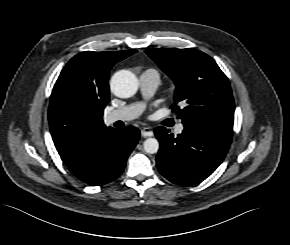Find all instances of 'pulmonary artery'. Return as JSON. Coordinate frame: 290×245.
<instances>
[{
	"label": "pulmonary artery",
	"mask_w": 290,
	"mask_h": 245,
	"mask_svg": "<svg viewBox=\"0 0 290 245\" xmlns=\"http://www.w3.org/2000/svg\"><path fill=\"white\" fill-rule=\"evenodd\" d=\"M160 84V77L156 70L147 69L139 76L140 90L145 99H150L156 92ZM145 102H137L120 109L113 110L106 114L105 121L107 124H112L117 121H129L137 118L143 112ZM183 131V125H179L175 129V133L179 134Z\"/></svg>",
	"instance_id": "pulmonary-artery-1"
}]
</instances>
